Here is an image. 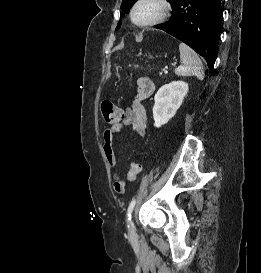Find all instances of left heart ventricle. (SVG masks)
<instances>
[{
  "label": "left heart ventricle",
  "mask_w": 261,
  "mask_h": 273,
  "mask_svg": "<svg viewBox=\"0 0 261 273\" xmlns=\"http://www.w3.org/2000/svg\"><path fill=\"white\" fill-rule=\"evenodd\" d=\"M157 11V8L153 4H146L141 6L136 12V19L139 22L150 19Z\"/></svg>",
  "instance_id": "left-heart-ventricle-1"
}]
</instances>
